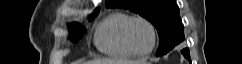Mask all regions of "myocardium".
Wrapping results in <instances>:
<instances>
[{"instance_id": "1", "label": "myocardium", "mask_w": 242, "mask_h": 64, "mask_svg": "<svg viewBox=\"0 0 242 64\" xmlns=\"http://www.w3.org/2000/svg\"><path fill=\"white\" fill-rule=\"evenodd\" d=\"M137 21H141V22L145 23L149 27L151 34H152V39H153L152 46L149 50L144 51V52H140V51L136 50L135 47L133 46L131 40H130V35H129L130 28ZM123 38H124V42H125L126 46L128 47V49L136 56L149 55L150 53H152L154 51V49L157 45L156 28L149 19H147L143 16H133L129 19V21L126 23L124 30H123Z\"/></svg>"}]
</instances>
